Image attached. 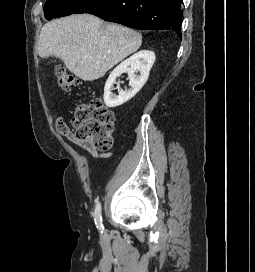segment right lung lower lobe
<instances>
[{"label": "right lung lower lobe", "instance_id": "obj_1", "mask_svg": "<svg viewBox=\"0 0 255 272\" xmlns=\"http://www.w3.org/2000/svg\"><path fill=\"white\" fill-rule=\"evenodd\" d=\"M181 2L182 0H90L74 14L89 13L134 29H169L182 38Z\"/></svg>", "mask_w": 255, "mask_h": 272}]
</instances>
